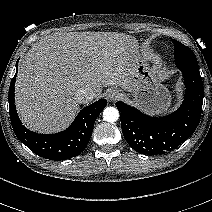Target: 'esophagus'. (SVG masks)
<instances>
[{
  "label": "esophagus",
  "mask_w": 212,
  "mask_h": 212,
  "mask_svg": "<svg viewBox=\"0 0 212 212\" xmlns=\"http://www.w3.org/2000/svg\"><path fill=\"white\" fill-rule=\"evenodd\" d=\"M120 96V94L118 93L117 90H111L107 93V98L110 100V101H114L116 99H118Z\"/></svg>",
  "instance_id": "34e87169"
}]
</instances>
